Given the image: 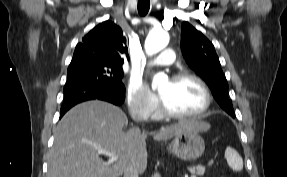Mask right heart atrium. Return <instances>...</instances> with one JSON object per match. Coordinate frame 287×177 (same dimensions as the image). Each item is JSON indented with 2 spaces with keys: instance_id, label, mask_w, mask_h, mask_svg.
I'll return each instance as SVG.
<instances>
[{
  "instance_id": "obj_1",
  "label": "right heart atrium",
  "mask_w": 287,
  "mask_h": 177,
  "mask_svg": "<svg viewBox=\"0 0 287 177\" xmlns=\"http://www.w3.org/2000/svg\"><path fill=\"white\" fill-rule=\"evenodd\" d=\"M126 99L133 116L147 119L154 117L159 108L157 98L148 90L140 78H131L127 86Z\"/></svg>"
}]
</instances>
